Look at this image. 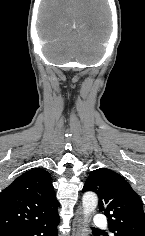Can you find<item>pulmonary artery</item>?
Returning a JSON list of instances; mask_svg holds the SVG:
<instances>
[{"label":"pulmonary artery","instance_id":"obj_1","mask_svg":"<svg viewBox=\"0 0 145 236\" xmlns=\"http://www.w3.org/2000/svg\"><path fill=\"white\" fill-rule=\"evenodd\" d=\"M93 223L96 227L105 228L107 226V219L105 216L98 214L94 217Z\"/></svg>","mask_w":145,"mask_h":236}]
</instances>
